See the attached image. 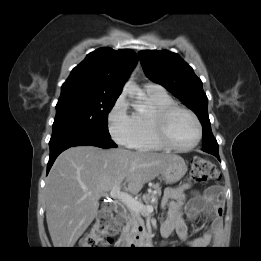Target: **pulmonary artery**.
Segmentation results:
<instances>
[{
    "label": "pulmonary artery",
    "mask_w": 261,
    "mask_h": 261,
    "mask_svg": "<svg viewBox=\"0 0 261 261\" xmlns=\"http://www.w3.org/2000/svg\"><path fill=\"white\" fill-rule=\"evenodd\" d=\"M144 89L146 92H155V93L164 91L159 84L151 83V82L145 83Z\"/></svg>",
    "instance_id": "1"
}]
</instances>
